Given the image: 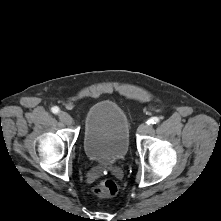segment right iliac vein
Masks as SVG:
<instances>
[{"label": "right iliac vein", "mask_w": 221, "mask_h": 221, "mask_svg": "<svg viewBox=\"0 0 221 221\" xmlns=\"http://www.w3.org/2000/svg\"><path fill=\"white\" fill-rule=\"evenodd\" d=\"M59 118L63 123H65L67 125H71L73 123L72 117L66 112H60Z\"/></svg>", "instance_id": "1"}]
</instances>
